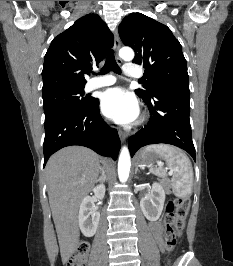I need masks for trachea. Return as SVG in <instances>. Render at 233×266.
Listing matches in <instances>:
<instances>
[{
  "instance_id": "obj_1",
  "label": "trachea",
  "mask_w": 233,
  "mask_h": 266,
  "mask_svg": "<svg viewBox=\"0 0 233 266\" xmlns=\"http://www.w3.org/2000/svg\"><path fill=\"white\" fill-rule=\"evenodd\" d=\"M111 70L117 74H121V69L116 63L113 50L109 51L107 58H106L105 65L101 70V74H107Z\"/></svg>"
}]
</instances>
